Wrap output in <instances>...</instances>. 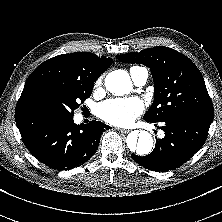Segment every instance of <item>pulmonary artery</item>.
<instances>
[{
    "instance_id": "pulmonary-artery-1",
    "label": "pulmonary artery",
    "mask_w": 222,
    "mask_h": 222,
    "mask_svg": "<svg viewBox=\"0 0 222 222\" xmlns=\"http://www.w3.org/2000/svg\"><path fill=\"white\" fill-rule=\"evenodd\" d=\"M132 78L137 85H144L148 79V71L145 68L132 73Z\"/></svg>"
}]
</instances>
